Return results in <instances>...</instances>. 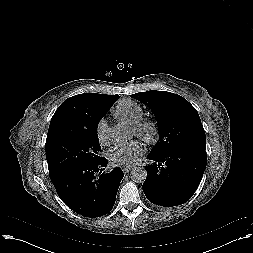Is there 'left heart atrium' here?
Here are the masks:
<instances>
[{"instance_id": "obj_1", "label": "left heart atrium", "mask_w": 253, "mask_h": 253, "mask_svg": "<svg viewBox=\"0 0 253 253\" xmlns=\"http://www.w3.org/2000/svg\"><path fill=\"white\" fill-rule=\"evenodd\" d=\"M145 147L140 141L116 144L109 152V158L115 165H132L143 154Z\"/></svg>"}]
</instances>
